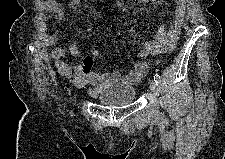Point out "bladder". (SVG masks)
Wrapping results in <instances>:
<instances>
[{
	"label": "bladder",
	"mask_w": 225,
	"mask_h": 159,
	"mask_svg": "<svg viewBox=\"0 0 225 159\" xmlns=\"http://www.w3.org/2000/svg\"><path fill=\"white\" fill-rule=\"evenodd\" d=\"M134 87L123 84H112L103 88L97 95L99 103L110 106L129 105L135 101Z\"/></svg>",
	"instance_id": "obj_1"
}]
</instances>
